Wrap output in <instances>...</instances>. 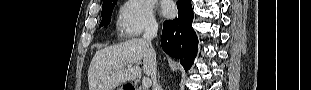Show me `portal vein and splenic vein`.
<instances>
[{"mask_svg": "<svg viewBox=\"0 0 311 90\" xmlns=\"http://www.w3.org/2000/svg\"><path fill=\"white\" fill-rule=\"evenodd\" d=\"M142 84H143V89L148 90V88L151 86L152 82L149 78H143Z\"/></svg>", "mask_w": 311, "mask_h": 90, "instance_id": "1", "label": "portal vein and splenic vein"}]
</instances>
